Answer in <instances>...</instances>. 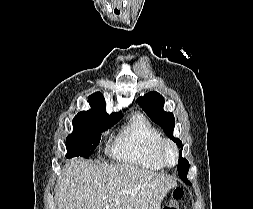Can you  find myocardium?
Returning <instances> with one entry per match:
<instances>
[{"mask_svg": "<svg viewBox=\"0 0 253 209\" xmlns=\"http://www.w3.org/2000/svg\"><path fill=\"white\" fill-rule=\"evenodd\" d=\"M168 149H172V151L174 153V162L173 163L169 162L167 159L166 153H167ZM156 154H157L158 158L160 159V161L163 163V165L166 167H174L178 164L179 149H178L177 145L175 144V142H173L169 138L162 137L159 140L157 148H156Z\"/></svg>", "mask_w": 253, "mask_h": 209, "instance_id": "f54148a6", "label": "myocardium"}]
</instances>
